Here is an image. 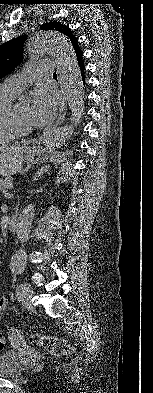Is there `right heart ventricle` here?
Wrapping results in <instances>:
<instances>
[{"label":"right heart ventricle","instance_id":"right-heart-ventricle-1","mask_svg":"<svg viewBox=\"0 0 153 393\" xmlns=\"http://www.w3.org/2000/svg\"><path fill=\"white\" fill-rule=\"evenodd\" d=\"M17 95L5 86H0V145L10 143L17 138L10 118L11 107Z\"/></svg>","mask_w":153,"mask_h":393}]
</instances>
